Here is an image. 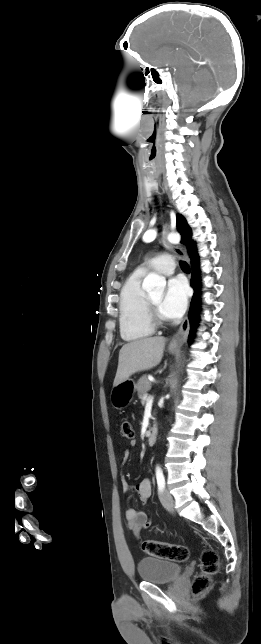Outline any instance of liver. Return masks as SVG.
<instances>
[{
	"label": "liver",
	"mask_w": 261,
	"mask_h": 644,
	"mask_svg": "<svg viewBox=\"0 0 261 644\" xmlns=\"http://www.w3.org/2000/svg\"><path fill=\"white\" fill-rule=\"evenodd\" d=\"M166 339L150 337L124 344L119 351V360L113 386L127 380L131 375L152 369L163 357Z\"/></svg>",
	"instance_id": "1"
}]
</instances>
